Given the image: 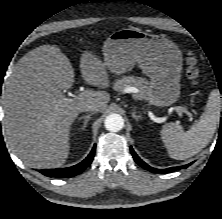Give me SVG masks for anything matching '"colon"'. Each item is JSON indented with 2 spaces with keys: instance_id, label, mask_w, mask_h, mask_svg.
<instances>
[{
  "instance_id": "1",
  "label": "colon",
  "mask_w": 222,
  "mask_h": 219,
  "mask_svg": "<svg viewBox=\"0 0 222 219\" xmlns=\"http://www.w3.org/2000/svg\"><path fill=\"white\" fill-rule=\"evenodd\" d=\"M186 64V76L193 86H197L200 77V69L194 53L191 52L188 54Z\"/></svg>"
}]
</instances>
